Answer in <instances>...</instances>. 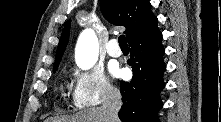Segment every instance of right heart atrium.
Masks as SVG:
<instances>
[{
  "instance_id": "d8ad5b80",
  "label": "right heart atrium",
  "mask_w": 221,
  "mask_h": 122,
  "mask_svg": "<svg viewBox=\"0 0 221 122\" xmlns=\"http://www.w3.org/2000/svg\"><path fill=\"white\" fill-rule=\"evenodd\" d=\"M73 104L77 108L96 106L118 96L117 89L108 81L100 67L74 72Z\"/></svg>"
}]
</instances>
